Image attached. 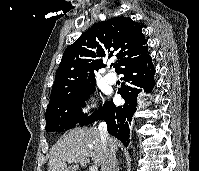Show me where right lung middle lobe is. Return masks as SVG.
<instances>
[{"instance_id": "1", "label": "right lung middle lobe", "mask_w": 199, "mask_h": 171, "mask_svg": "<svg viewBox=\"0 0 199 171\" xmlns=\"http://www.w3.org/2000/svg\"><path fill=\"white\" fill-rule=\"evenodd\" d=\"M95 83L82 87L74 94L47 106L46 131L61 132L71 129L87 116L81 111L85 100L95 92Z\"/></svg>"}]
</instances>
